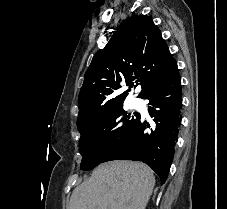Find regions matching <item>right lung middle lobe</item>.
I'll return each instance as SVG.
<instances>
[{
  "mask_svg": "<svg viewBox=\"0 0 227 209\" xmlns=\"http://www.w3.org/2000/svg\"><path fill=\"white\" fill-rule=\"evenodd\" d=\"M124 100L107 99L104 101L106 108L102 113L77 119V127L81 134V170H91L101 163L103 157L135 122L136 118H131L132 115L123 110ZM134 115L138 116L137 113Z\"/></svg>",
  "mask_w": 227,
  "mask_h": 209,
  "instance_id": "obj_1",
  "label": "right lung middle lobe"
}]
</instances>
